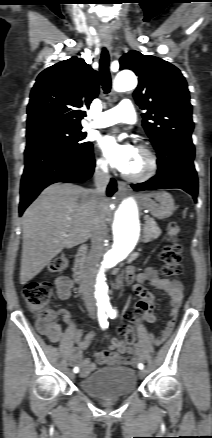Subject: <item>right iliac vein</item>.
Returning a JSON list of instances; mask_svg holds the SVG:
<instances>
[{
	"label": "right iliac vein",
	"instance_id": "obj_1",
	"mask_svg": "<svg viewBox=\"0 0 212 438\" xmlns=\"http://www.w3.org/2000/svg\"><path fill=\"white\" fill-rule=\"evenodd\" d=\"M69 376L71 377V378H74V374L73 373H69Z\"/></svg>",
	"mask_w": 212,
	"mask_h": 438
}]
</instances>
